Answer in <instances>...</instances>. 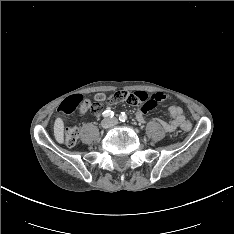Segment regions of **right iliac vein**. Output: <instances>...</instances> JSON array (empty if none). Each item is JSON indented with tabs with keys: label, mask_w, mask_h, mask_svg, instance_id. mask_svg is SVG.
I'll use <instances>...</instances> for the list:
<instances>
[{
	"label": "right iliac vein",
	"mask_w": 234,
	"mask_h": 234,
	"mask_svg": "<svg viewBox=\"0 0 234 234\" xmlns=\"http://www.w3.org/2000/svg\"><path fill=\"white\" fill-rule=\"evenodd\" d=\"M102 127L103 128H109L110 127V121L109 120H104L102 122Z\"/></svg>",
	"instance_id": "63e3f726"
}]
</instances>
